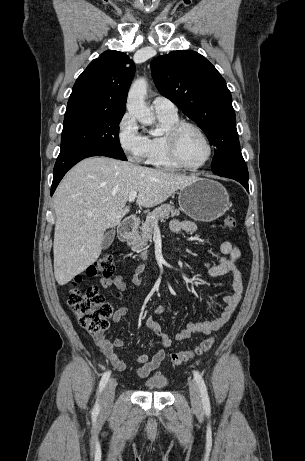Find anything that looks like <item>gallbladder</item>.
<instances>
[{
  "label": "gallbladder",
  "mask_w": 305,
  "mask_h": 461,
  "mask_svg": "<svg viewBox=\"0 0 305 461\" xmlns=\"http://www.w3.org/2000/svg\"><path fill=\"white\" fill-rule=\"evenodd\" d=\"M114 237H115V230L114 229L109 230L104 236V239L102 242V248L103 249L109 248L114 240Z\"/></svg>",
  "instance_id": "gallbladder-1"
}]
</instances>
